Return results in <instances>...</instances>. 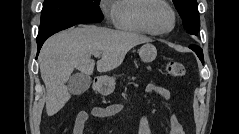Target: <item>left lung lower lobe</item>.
Returning <instances> with one entry per match:
<instances>
[{
  "label": "left lung lower lobe",
  "instance_id": "1",
  "mask_svg": "<svg viewBox=\"0 0 239 134\" xmlns=\"http://www.w3.org/2000/svg\"><path fill=\"white\" fill-rule=\"evenodd\" d=\"M190 48L198 55L200 60L203 58V52L199 46L191 45ZM202 63L204 64V61H202Z\"/></svg>",
  "mask_w": 239,
  "mask_h": 134
}]
</instances>
